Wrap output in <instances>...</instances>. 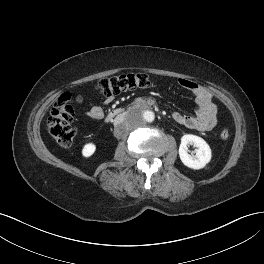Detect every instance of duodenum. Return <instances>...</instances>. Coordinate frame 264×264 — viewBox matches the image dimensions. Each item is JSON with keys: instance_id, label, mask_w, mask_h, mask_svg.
I'll return each mask as SVG.
<instances>
[{"instance_id": "1", "label": "duodenum", "mask_w": 264, "mask_h": 264, "mask_svg": "<svg viewBox=\"0 0 264 264\" xmlns=\"http://www.w3.org/2000/svg\"><path fill=\"white\" fill-rule=\"evenodd\" d=\"M148 105V102H145L143 105L139 106V109L141 110H145L146 107ZM125 114V110L122 108H116L111 110L108 115H107V120H112L114 119L116 116H124Z\"/></svg>"}]
</instances>
